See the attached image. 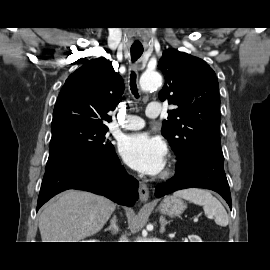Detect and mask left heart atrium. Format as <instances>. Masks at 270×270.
Listing matches in <instances>:
<instances>
[{
	"label": "left heart atrium",
	"mask_w": 270,
	"mask_h": 270,
	"mask_svg": "<svg viewBox=\"0 0 270 270\" xmlns=\"http://www.w3.org/2000/svg\"><path fill=\"white\" fill-rule=\"evenodd\" d=\"M119 153L132 169L147 175H157L165 167L167 147L160 138L136 133L120 141Z\"/></svg>",
	"instance_id": "39dd6f15"
}]
</instances>
